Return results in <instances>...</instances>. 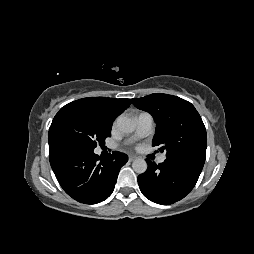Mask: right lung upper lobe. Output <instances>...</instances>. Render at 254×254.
Here are the masks:
<instances>
[{
	"label": "right lung upper lobe",
	"mask_w": 254,
	"mask_h": 254,
	"mask_svg": "<svg viewBox=\"0 0 254 254\" xmlns=\"http://www.w3.org/2000/svg\"><path fill=\"white\" fill-rule=\"evenodd\" d=\"M131 104V100L127 98H104V97H93V98H83L73 101L64 107H62L56 114L59 115L65 110L71 108H88L96 111L100 116H102L107 122L113 123L115 118L121 114L125 109H127ZM49 144L52 143L49 140Z\"/></svg>",
	"instance_id": "cb5924a9"
}]
</instances>
